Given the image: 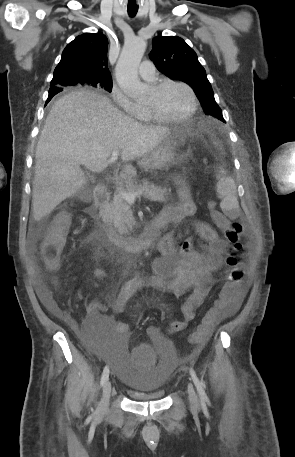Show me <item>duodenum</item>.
<instances>
[{
    "instance_id": "1",
    "label": "duodenum",
    "mask_w": 295,
    "mask_h": 457,
    "mask_svg": "<svg viewBox=\"0 0 295 457\" xmlns=\"http://www.w3.org/2000/svg\"><path fill=\"white\" fill-rule=\"evenodd\" d=\"M110 201V192L106 188H98L95 192V209L91 216L95 225L97 237L106 248L113 254L121 252H139L149 248L163 230L162 220L158 217L148 222L145 230L138 238L120 237L109 227L105 212Z\"/></svg>"
}]
</instances>
